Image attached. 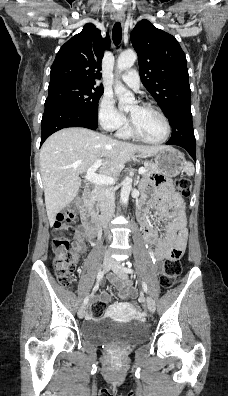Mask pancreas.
I'll list each match as a JSON object with an SVG mask.
<instances>
[{
    "label": "pancreas",
    "mask_w": 228,
    "mask_h": 396,
    "mask_svg": "<svg viewBox=\"0 0 228 396\" xmlns=\"http://www.w3.org/2000/svg\"><path fill=\"white\" fill-rule=\"evenodd\" d=\"M144 168H145V172L143 173L144 177H148L158 172L156 165L153 163H146L144 165ZM97 201H98L97 207H101L100 199H97Z\"/></svg>",
    "instance_id": "cf45deb5"
}]
</instances>
